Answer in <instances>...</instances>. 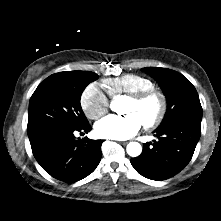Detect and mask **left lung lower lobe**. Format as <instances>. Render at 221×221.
Here are the masks:
<instances>
[{
  "label": "left lung lower lobe",
  "instance_id": "1",
  "mask_svg": "<svg viewBox=\"0 0 221 221\" xmlns=\"http://www.w3.org/2000/svg\"><path fill=\"white\" fill-rule=\"evenodd\" d=\"M158 141L143 145L140 156L131 159L142 176L165 180L179 173L191 160L201 135V121L179 118L155 130Z\"/></svg>",
  "mask_w": 221,
  "mask_h": 221
}]
</instances>
